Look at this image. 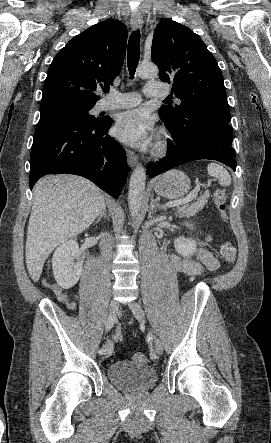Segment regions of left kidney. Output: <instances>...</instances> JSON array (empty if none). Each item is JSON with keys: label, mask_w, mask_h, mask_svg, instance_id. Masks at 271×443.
I'll return each instance as SVG.
<instances>
[{"label": "left kidney", "mask_w": 271, "mask_h": 443, "mask_svg": "<svg viewBox=\"0 0 271 443\" xmlns=\"http://www.w3.org/2000/svg\"><path fill=\"white\" fill-rule=\"evenodd\" d=\"M197 243L194 239H189V237H176L174 241L175 251L183 257H190L196 251Z\"/></svg>", "instance_id": "5707ae66"}]
</instances>
